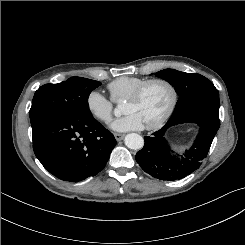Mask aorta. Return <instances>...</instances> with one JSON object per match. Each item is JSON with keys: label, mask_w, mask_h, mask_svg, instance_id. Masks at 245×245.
Returning a JSON list of instances; mask_svg holds the SVG:
<instances>
[{"label": "aorta", "mask_w": 245, "mask_h": 245, "mask_svg": "<svg viewBox=\"0 0 245 245\" xmlns=\"http://www.w3.org/2000/svg\"><path fill=\"white\" fill-rule=\"evenodd\" d=\"M114 113L117 116L120 114V111L116 109ZM124 141L125 145L132 150H139L144 146L143 137L137 133L127 134Z\"/></svg>", "instance_id": "1"}]
</instances>
